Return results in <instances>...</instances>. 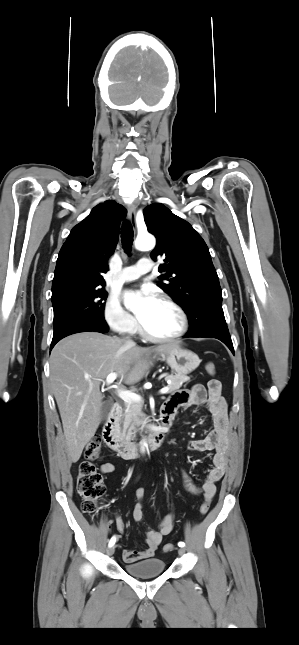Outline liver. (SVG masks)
<instances>
[{
    "label": "liver",
    "instance_id": "obj_1",
    "mask_svg": "<svg viewBox=\"0 0 299 645\" xmlns=\"http://www.w3.org/2000/svg\"><path fill=\"white\" fill-rule=\"evenodd\" d=\"M177 348L178 343L155 348L127 346L117 337L97 332L74 334L56 344L50 355V382L73 463L79 460L100 424L104 398L100 383L116 373L119 382L133 385L152 365L145 356L151 352L162 355Z\"/></svg>",
    "mask_w": 299,
    "mask_h": 645
}]
</instances>
